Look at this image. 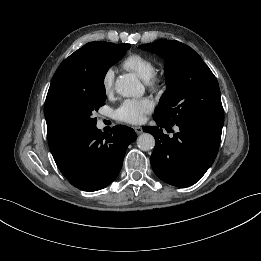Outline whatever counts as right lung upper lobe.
Instances as JSON below:
<instances>
[{
	"mask_svg": "<svg viewBox=\"0 0 261 261\" xmlns=\"http://www.w3.org/2000/svg\"><path fill=\"white\" fill-rule=\"evenodd\" d=\"M112 43L90 42L66 58L56 70L45 101L44 113L61 97L85 91L91 86L90 67L95 55ZM57 153H52L55 155Z\"/></svg>",
	"mask_w": 261,
	"mask_h": 261,
	"instance_id": "cb5924a9",
	"label": "right lung upper lobe"
}]
</instances>
